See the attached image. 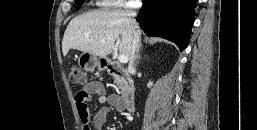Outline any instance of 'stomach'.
<instances>
[{
	"mask_svg": "<svg viewBox=\"0 0 257 130\" xmlns=\"http://www.w3.org/2000/svg\"><path fill=\"white\" fill-rule=\"evenodd\" d=\"M79 60L81 65L87 71H94L96 68H98L99 70H102L104 69L107 61L105 57L97 58V56L88 52H83L80 55Z\"/></svg>",
	"mask_w": 257,
	"mask_h": 130,
	"instance_id": "1",
	"label": "stomach"
}]
</instances>
